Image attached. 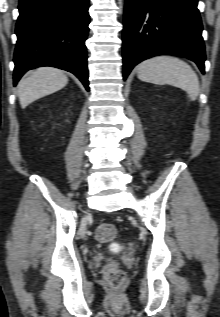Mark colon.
I'll return each instance as SVG.
<instances>
[{
	"instance_id": "5ec220e1",
	"label": "colon",
	"mask_w": 220,
	"mask_h": 317,
	"mask_svg": "<svg viewBox=\"0 0 220 317\" xmlns=\"http://www.w3.org/2000/svg\"><path fill=\"white\" fill-rule=\"evenodd\" d=\"M116 234L115 226L110 223L99 224L95 231V237L100 242L111 241L116 237ZM103 278L109 287L118 289L125 282L126 275L117 263L110 259L103 268Z\"/></svg>"
}]
</instances>
